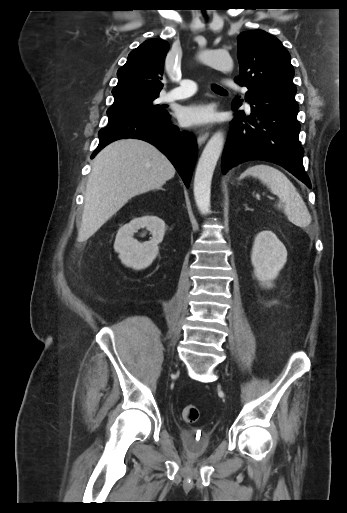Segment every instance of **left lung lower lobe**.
I'll return each instance as SVG.
<instances>
[{"instance_id": "0a47b994", "label": "left lung lower lobe", "mask_w": 347, "mask_h": 513, "mask_svg": "<svg viewBox=\"0 0 347 513\" xmlns=\"http://www.w3.org/2000/svg\"><path fill=\"white\" fill-rule=\"evenodd\" d=\"M294 95L284 91L246 92L245 101L251 105V114L238 111L231 121L222 157L224 174L242 162L265 160L284 167L311 188L303 167L304 150L298 139L299 107ZM240 101L233 100L234 110L241 106Z\"/></svg>"}]
</instances>
